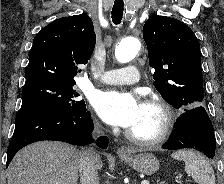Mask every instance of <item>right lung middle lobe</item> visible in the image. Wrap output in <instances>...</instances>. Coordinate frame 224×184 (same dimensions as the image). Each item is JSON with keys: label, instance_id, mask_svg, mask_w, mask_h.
I'll return each mask as SVG.
<instances>
[{"label": "right lung middle lobe", "instance_id": "1", "mask_svg": "<svg viewBox=\"0 0 224 184\" xmlns=\"http://www.w3.org/2000/svg\"><path fill=\"white\" fill-rule=\"evenodd\" d=\"M76 83L34 81L22 89V105L16 116V123L37 113L63 112L74 114L86 108L84 100H78L74 90Z\"/></svg>", "mask_w": 224, "mask_h": 184}]
</instances>
